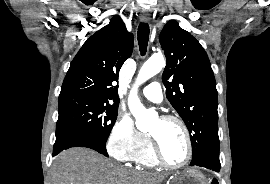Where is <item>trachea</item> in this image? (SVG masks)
<instances>
[{"instance_id":"trachea-1","label":"trachea","mask_w":270,"mask_h":184,"mask_svg":"<svg viewBox=\"0 0 270 184\" xmlns=\"http://www.w3.org/2000/svg\"><path fill=\"white\" fill-rule=\"evenodd\" d=\"M137 35L140 52L142 55H145L149 40V25L146 23H140Z\"/></svg>"}]
</instances>
